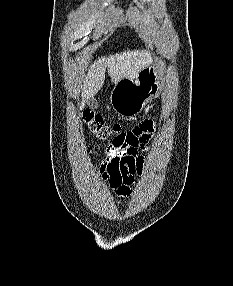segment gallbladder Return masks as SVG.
<instances>
[{"instance_id":"bac80fb5","label":"gallbladder","mask_w":233,"mask_h":286,"mask_svg":"<svg viewBox=\"0 0 233 286\" xmlns=\"http://www.w3.org/2000/svg\"><path fill=\"white\" fill-rule=\"evenodd\" d=\"M87 105H88L90 108L95 109V108L98 107V102H97V100H96L94 97H92V98H89V99L87 100Z\"/></svg>"}]
</instances>
